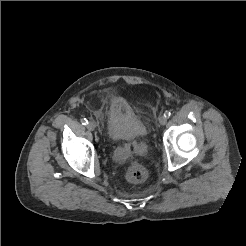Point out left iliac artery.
I'll return each mask as SVG.
<instances>
[{
	"label": "left iliac artery",
	"instance_id": "left-iliac-artery-1",
	"mask_svg": "<svg viewBox=\"0 0 246 246\" xmlns=\"http://www.w3.org/2000/svg\"><path fill=\"white\" fill-rule=\"evenodd\" d=\"M164 116L166 118H169L171 116V112L170 111H165Z\"/></svg>",
	"mask_w": 246,
	"mask_h": 246
}]
</instances>
